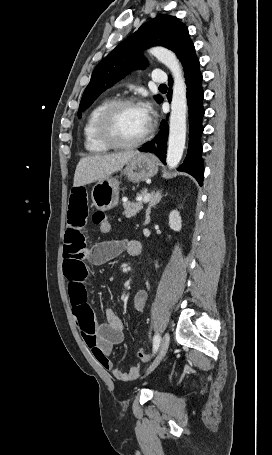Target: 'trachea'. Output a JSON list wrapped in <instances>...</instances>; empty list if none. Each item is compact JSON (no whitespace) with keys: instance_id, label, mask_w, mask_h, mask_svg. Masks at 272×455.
Listing matches in <instances>:
<instances>
[{"instance_id":"1","label":"trachea","mask_w":272,"mask_h":455,"mask_svg":"<svg viewBox=\"0 0 272 455\" xmlns=\"http://www.w3.org/2000/svg\"><path fill=\"white\" fill-rule=\"evenodd\" d=\"M159 87H160V88H165V87H167V86H166L165 84H162V85H160Z\"/></svg>"}]
</instances>
